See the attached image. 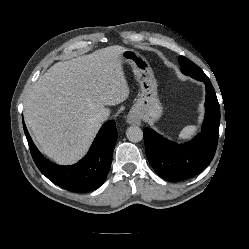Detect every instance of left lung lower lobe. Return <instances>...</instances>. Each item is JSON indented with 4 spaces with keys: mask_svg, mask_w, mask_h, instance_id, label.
Returning a JSON list of instances; mask_svg holds the SVG:
<instances>
[{
    "mask_svg": "<svg viewBox=\"0 0 249 249\" xmlns=\"http://www.w3.org/2000/svg\"><path fill=\"white\" fill-rule=\"evenodd\" d=\"M206 84L205 119L201 132L190 142H171L150 128H145L147 158L156 173L167 181L178 182L205 170L217 148L220 106L214 88L204 72L191 75Z\"/></svg>",
    "mask_w": 249,
    "mask_h": 249,
    "instance_id": "obj_1",
    "label": "left lung lower lobe"
}]
</instances>
